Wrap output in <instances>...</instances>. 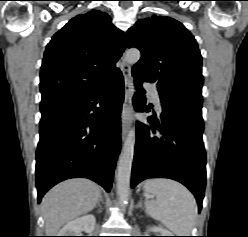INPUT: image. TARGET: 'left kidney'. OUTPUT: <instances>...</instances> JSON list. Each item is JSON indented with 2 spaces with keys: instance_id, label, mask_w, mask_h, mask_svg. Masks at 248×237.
I'll return each mask as SVG.
<instances>
[{
  "instance_id": "5707ae66",
  "label": "left kidney",
  "mask_w": 248,
  "mask_h": 237,
  "mask_svg": "<svg viewBox=\"0 0 248 237\" xmlns=\"http://www.w3.org/2000/svg\"><path fill=\"white\" fill-rule=\"evenodd\" d=\"M148 231L160 233L161 236H173V234H171V232H169L168 230H165V229L157 227V226H153V227L148 228Z\"/></svg>"
}]
</instances>
